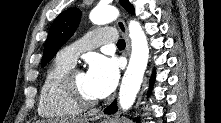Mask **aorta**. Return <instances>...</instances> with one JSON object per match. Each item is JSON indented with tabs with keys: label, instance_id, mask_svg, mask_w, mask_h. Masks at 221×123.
<instances>
[{
	"label": "aorta",
	"instance_id": "aorta-1",
	"mask_svg": "<svg viewBox=\"0 0 221 123\" xmlns=\"http://www.w3.org/2000/svg\"><path fill=\"white\" fill-rule=\"evenodd\" d=\"M118 15L119 11L114 6H98L91 11L90 20L97 25L107 24L114 21ZM128 28L132 50L119 91V104L123 110H128L133 105L149 58L147 38L139 22L131 20Z\"/></svg>",
	"mask_w": 221,
	"mask_h": 123
}]
</instances>
